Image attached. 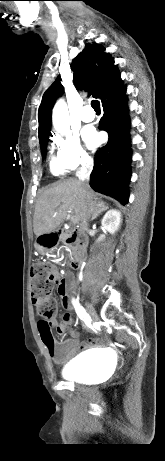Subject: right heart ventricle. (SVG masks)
Returning <instances> with one entry per match:
<instances>
[{"mask_svg": "<svg viewBox=\"0 0 165 461\" xmlns=\"http://www.w3.org/2000/svg\"><path fill=\"white\" fill-rule=\"evenodd\" d=\"M50 170L54 175L62 174L64 169L59 165L58 161L51 157L50 160Z\"/></svg>", "mask_w": 165, "mask_h": 461, "instance_id": "right-heart-ventricle-1", "label": "right heart ventricle"}]
</instances>
